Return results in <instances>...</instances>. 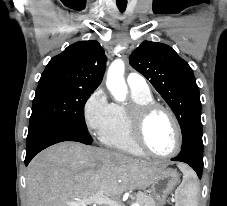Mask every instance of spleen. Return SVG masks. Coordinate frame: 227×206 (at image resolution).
<instances>
[{
  "label": "spleen",
  "instance_id": "obj_1",
  "mask_svg": "<svg viewBox=\"0 0 227 206\" xmlns=\"http://www.w3.org/2000/svg\"><path fill=\"white\" fill-rule=\"evenodd\" d=\"M183 182L175 191L177 203L181 206H197V196L199 193L198 184L190 180L192 173L182 168Z\"/></svg>",
  "mask_w": 227,
  "mask_h": 206
}]
</instances>
